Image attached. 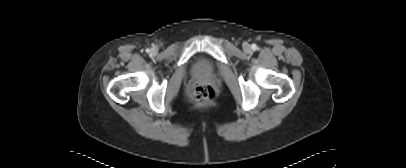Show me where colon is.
<instances>
[{"instance_id":"obj_1","label":"colon","mask_w":406,"mask_h":168,"mask_svg":"<svg viewBox=\"0 0 406 168\" xmlns=\"http://www.w3.org/2000/svg\"><path fill=\"white\" fill-rule=\"evenodd\" d=\"M215 93L211 86L197 84L192 92V101L198 106H206L214 101Z\"/></svg>"}]
</instances>
